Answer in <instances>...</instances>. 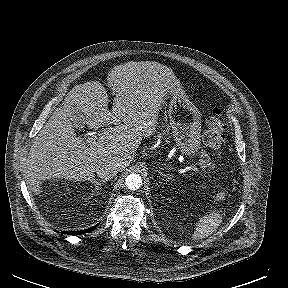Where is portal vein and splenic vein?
I'll use <instances>...</instances> for the list:
<instances>
[{"label": "portal vein and splenic vein", "mask_w": 288, "mask_h": 288, "mask_svg": "<svg viewBox=\"0 0 288 288\" xmlns=\"http://www.w3.org/2000/svg\"><path fill=\"white\" fill-rule=\"evenodd\" d=\"M97 139L96 136H92V137H88V139L86 140L88 143H92L93 141H95ZM192 169L195 171V172H199L198 168L196 166H192Z\"/></svg>", "instance_id": "portal-vein-and-splenic-vein-1"}]
</instances>
